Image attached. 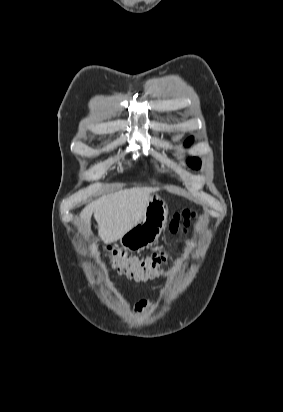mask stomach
<instances>
[{"mask_svg":"<svg viewBox=\"0 0 283 412\" xmlns=\"http://www.w3.org/2000/svg\"><path fill=\"white\" fill-rule=\"evenodd\" d=\"M168 206L159 196H151L143 219L120 238L123 248L136 251L155 243L168 221Z\"/></svg>","mask_w":283,"mask_h":412,"instance_id":"0dacf381","label":"stomach"}]
</instances>
